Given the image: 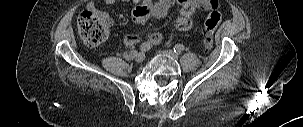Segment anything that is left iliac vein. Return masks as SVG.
<instances>
[{
	"label": "left iliac vein",
	"instance_id": "obj_1",
	"mask_svg": "<svg viewBox=\"0 0 303 127\" xmlns=\"http://www.w3.org/2000/svg\"><path fill=\"white\" fill-rule=\"evenodd\" d=\"M160 56L163 57H170L173 59H177L179 57V54L177 52H174L173 50H162V51H158Z\"/></svg>",
	"mask_w": 303,
	"mask_h": 127
}]
</instances>
